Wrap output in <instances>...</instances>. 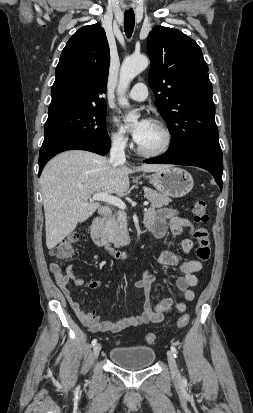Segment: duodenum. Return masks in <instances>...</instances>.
<instances>
[{
  "label": "duodenum",
  "instance_id": "410a0bca",
  "mask_svg": "<svg viewBox=\"0 0 253 413\" xmlns=\"http://www.w3.org/2000/svg\"><path fill=\"white\" fill-rule=\"evenodd\" d=\"M110 216L111 209L109 207L104 206L99 209L98 216L93 220L90 227L91 237L96 245L103 247L110 255L116 259L125 260L130 254L116 250L105 231V223Z\"/></svg>",
  "mask_w": 253,
  "mask_h": 413
}]
</instances>
